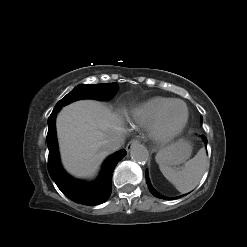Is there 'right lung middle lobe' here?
<instances>
[{"mask_svg":"<svg viewBox=\"0 0 247 247\" xmlns=\"http://www.w3.org/2000/svg\"><path fill=\"white\" fill-rule=\"evenodd\" d=\"M117 88V83L80 85L61 99L56 106L63 107L73 101L85 98L108 100L116 92Z\"/></svg>","mask_w":247,"mask_h":247,"instance_id":"obj_1","label":"right lung middle lobe"}]
</instances>
